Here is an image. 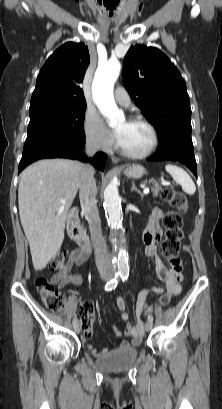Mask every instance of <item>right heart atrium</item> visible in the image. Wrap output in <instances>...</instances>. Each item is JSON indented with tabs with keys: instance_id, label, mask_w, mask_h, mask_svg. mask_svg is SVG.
I'll return each mask as SVG.
<instances>
[{
	"instance_id": "obj_1",
	"label": "right heart atrium",
	"mask_w": 222,
	"mask_h": 409,
	"mask_svg": "<svg viewBox=\"0 0 222 409\" xmlns=\"http://www.w3.org/2000/svg\"><path fill=\"white\" fill-rule=\"evenodd\" d=\"M83 129L90 146L105 152L111 150L112 140L97 112L89 109L85 112Z\"/></svg>"
}]
</instances>
